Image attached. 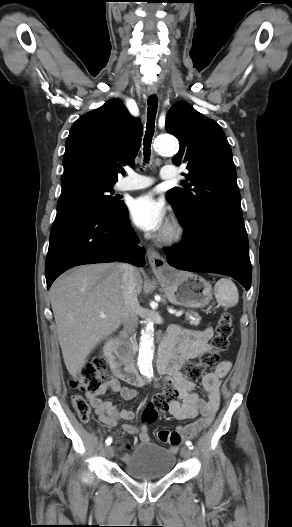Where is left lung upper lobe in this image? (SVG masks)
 Here are the masks:
<instances>
[{"label": "left lung upper lobe", "mask_w": 292, "mask_h": 527, "mask_svg": "<svg viewBox=\"0 0 292 527\" xmlns=\"http://www.w3.org/2000/svg\"><path fill=\"white\" fill-rule=\"evenodd\" d=\"M165 128L180 142L172 162L185 163L189 171L183 188L167 192L181 225L217 215L242 217L232 151L222 128L185 102L168 111Z\"/></svg>", "instance_id": "obj_1"}]
</instances>
